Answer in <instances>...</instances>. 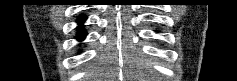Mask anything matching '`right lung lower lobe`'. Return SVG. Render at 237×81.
<instances>
[{"mask_svg":"<svg viewBox=\"0 0 237 81\" xmlns=\"http://www.w3.org/2000/svg\"><path fill=\"white\" fill-rule=\"evenodd\" d=\"M85 19H86L85 16H81V17L78 18L77 21H78L79 24H82V22H83ZM85 35H86V33H85L82 29H80V30L78 31V33H77V38H78L79 40H82V39L85 37Z\"/></svg>","mask_w":237,"mask_h":81,"instance_id":"right-lung-lower-lobe-1","label":"right lung lower lobe"}]
</instances>
